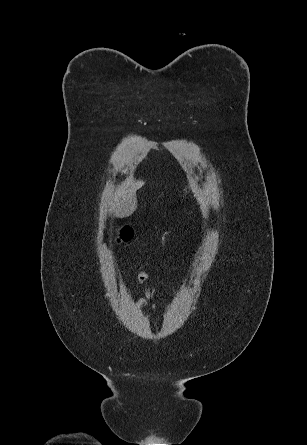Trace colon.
<instances>
[{
	"label": "colon",
	"instance_id": "5ec220e1",
	"mask_svg": "<svg viewBox=\"0 0 307 445\" xmlns=\"http://www.w3.org/2000/svg\"><path fill=\"white\" fill-rule=\"evenodd\" d=\"M133 236V230L129 226H124L119 231V241L121 242H127L129 241Z\"/></svg>",
	"mask_w": 307,
	"mask_h": 445
}]
</instances>
